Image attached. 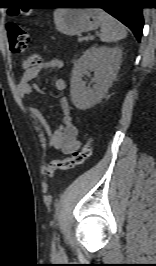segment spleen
Here are the masks:
<instances>
[{
    "mask_svg": "<svg viewBox=\"0 0 156 266\" xmlns=\"http://www.w3.org/2000/svg\"><path fill=\"white\" fill-rule=\"evenodd\" d=\"M98 14L101 20L100 40L102 42H117L127 36L124 26L114 17L102 9H98Z\"/></svg>",
    "mask_w": 156,
    "mask_h": 266,
    "instance_id": "3e777b00",
    "label": "spleen"
}]
</instances>
